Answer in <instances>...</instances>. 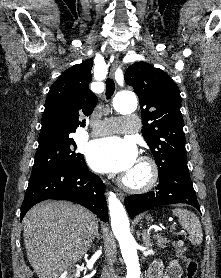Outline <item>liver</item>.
<instances>
[{
    "label": "liver",
    "mask_w": 221,
    "mask_h": 278,
    "mask_svg": "<svg viewBox=\"0 0 221 278\" xmlns=\"http://www.w3.org/2000/svg\"><path fill=\"white\" fill-rule=\"evenodd\" d=\"M24 244L39 278H59L90 249L98 230L95 216L67 201H43L23 219Z\"/></svg>",
    "instance_id": "1"
}]
</instances>
